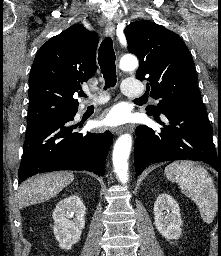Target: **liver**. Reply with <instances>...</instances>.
I'll list each match as a JSON object with an SVG mask.
<instances>
[{"label":"liver","instance_id":"6515ba94","mask_svg":"<svg viewBox=\"0 0 221 256\" xmlns=\"http://www.w3.org/2000/svg\"><path fill=\"white\" fill-rule=\"evenodd\" d=\"M74 180L72 172L56 171L35 177L23 182L18 190L19 207L46 201L57 195Z\"/></svg>","mask_w":221,"mask_h":256}]
</instances>
